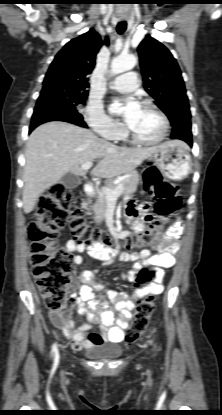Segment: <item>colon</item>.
Segmentation results:
<instances>
[{
    "instance_id": "5ec220e1",
    "label": "colon",
    "mask_w": 222,
    "mask_h": 415,
    "mask_svg": "<svg viewBox=\"0 0 222 415\" xmlns=\"http://www.w3.org/2000/svg\"><path fill=\"white\" fill-rule=\"evenodd\" d=\"M145 191L155 199V217H148L150 227L144 232L130 236L125 245L130 249L152 246L165 233L163 222L178 209L181 198L175 186L163 181L159 170L152 165L144 167ZM67 227L78 244L92 250L107 247L111 236L87 220L85 213L76 204V196L63 184H52L39 199L34 220L29 225L31 239V266L45 305L52 311L64 307L67 295L72 292L74 257L56 243L59 230ZM151 272L143 269L138 277L139 285L151 280ZM156 308L152 295L139 300L133 322L125 337L126 345L134 343L146 330Z\"/></svg>"
}]
</instances>
